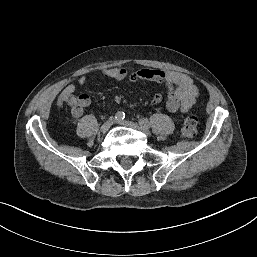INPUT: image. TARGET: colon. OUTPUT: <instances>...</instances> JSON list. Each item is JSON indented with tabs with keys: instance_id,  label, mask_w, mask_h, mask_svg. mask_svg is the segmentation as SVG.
I'll list each match as a JSON object with an SVG mask.
<instances>
[{
	"instance_id": "obj_1",
	"label": "colon",
	"mask_w": 257,
	"mask_h": 257,
	"mask_svg": "<svg viewBox=\"0 0 257 257\" xmlns=\"http://www.w3.org/2000/svg\"><path fill=\"white\" fill-rule=\"evenodd\" d=\"M198 120L194 115H188L181 127L180 136L183 139L193 138L197 133Z\"/></svg>"
}]
</instances>
